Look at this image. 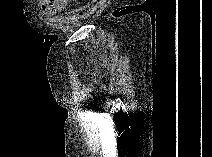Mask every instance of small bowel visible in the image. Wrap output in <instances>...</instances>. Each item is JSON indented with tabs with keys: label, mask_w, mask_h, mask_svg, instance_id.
Instances as JSON below:
<instances>
[{
	"label": "small bowel",
	"mask_w": 212,
	"mask_h": 157,
	"mask_svg": "<svg viewBox=\"0 0 212 157\" xmlns=\"http://www.w3.org/2000/svg\"><path fill=\"white\" fill-rule=\"evenodd\" d=\"M65 4L64 0H52L49 2H45L42 4V8L44 11L48 13H54L58 10L62 9Z\"/></svg>",
	"instance_id": "1"
}]
</instances>
